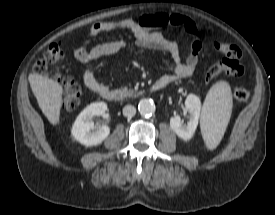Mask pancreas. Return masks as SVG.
I'll use <instances>...</instances> for the list:
<instances>
[{
	"label": "pancreas",
	"instance_id": "cf45deb5",
	"mask_svg": "<svg viewBox=\"0 0 275 215\" xmlns=\"http://www.w3.org/2000/svg\"><path fill=\"white\" fill-rule=\"evenodd\" d=\"M121 93L124 97H136L138 94H141V92L136 93V90L134 89H128L127 87H124L121 89Z\"/></svg>",
	"mask_w": 275,
	"mask_h": 215
}]
</instances>
